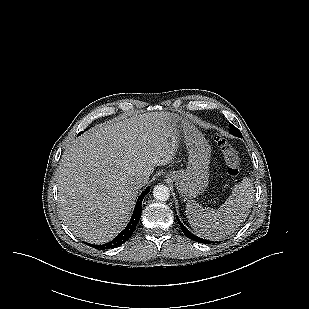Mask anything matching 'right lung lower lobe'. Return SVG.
I'll return each instance as SVG.
<instances>
[{
    "label": "right lung lower lobe",
    "mask_w": 309,
    "mask_h": 309,
    "mask_svg": "<svg viewBox=\"0 0 309 309\" xmlns=\"http://www.w3.org/2000/svg\"><path fill=\"white\" fill-rule=\"evenodd\" d=\"M150 191V187H147L145 191H143L141 193V195L139 196L132 218L130 220V222L128 223V225L126 226V228L117 236L115 237L112 241L103 244V245H91L96 249H100V250H105V249H112L115 248L119 245H122L123 243H125L126 241L129 240V238L131 237V235L133 234L139 220L141 217V212H142V200L144 198V196ZM89 245V244H88Z\"/></svg>",
    "instance_id": "1"
}]
</instances>
